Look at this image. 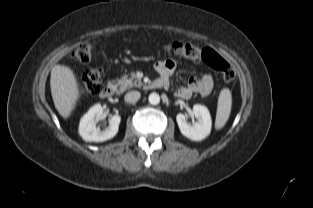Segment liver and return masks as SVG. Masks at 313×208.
Masks as SVG:
<instances>
[{"mask_svg": "<svg viewBox=\"0 0 313 208\" xmlns=\"http://www.w3.org/2000/svg\"><path fill=\"white\" fill-rule=\"evenodd\" d=\"M50 87L56 110L64 119L68 118L80 97L74 72L67 66L55 65L51 70Z\"/></svg>", "mask_w": 313, "mask_h": 208, "instance_id": "obj_1", "label": "liver"}]
</instances>
